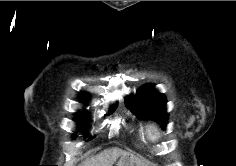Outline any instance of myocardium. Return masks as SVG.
Returning <instances> with one entry per match:
<instances>
[{"mask_svg":"<svg viewBox=\"0 0 236 166\" xmlns=\"http://www.w3.org/2000/svg\"><path fill=\"white\" fill-rule=\"evenodd\" d=\"M145 135L150 141L158 140L161 135L159 126L155 123L148 124L145 128Z\"/></svg>","mask_w":236,"mask_h":166,"instance_id":"obj_1","label":"myocardium"}]
</instances>
